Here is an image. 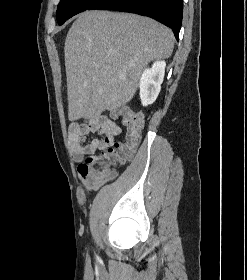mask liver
I'll use <instances>...</instances> for the list:
<instances>
[{
  "label": "liver",
  "mask_w": 247,
  "mask_h": 280,
  "mask_svg": "<svg viewBox=\"0 0 247 280\" xmlns=\"http://www.w3.org/2000/svg\"><path fill=\"white\" fill-rule=\"evenodd\" d=\"M172 31L157 21L128 13L85 11L65 40L68 118L96 119L135 95L143 69L168 58Z\"/></svg>",
  "instance_id": "1"
}]
</instances>
